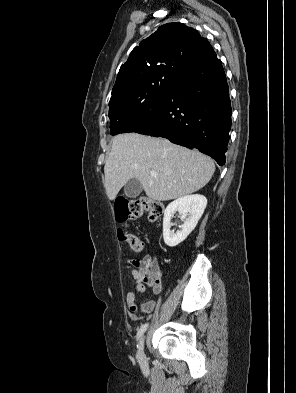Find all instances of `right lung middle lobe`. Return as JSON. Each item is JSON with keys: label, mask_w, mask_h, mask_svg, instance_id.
<instances>
[{"label": "right lung middle lobe", "mask_w": 296, "mask_h": 393, "mask_svg": "<svg viewBox=\"0 0 296 393\" xmlns=\"http://www.w3.org/2000/svg\"><path fill=\"white\" fill-rule=\"evenodd\" d=\"M175 81L176 79L153 80L138 96L109 104L111 135L119 134L124 127L150 110L174 86Z\"/></svg>", "instance_id": "1"}]
</instances>
